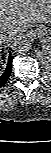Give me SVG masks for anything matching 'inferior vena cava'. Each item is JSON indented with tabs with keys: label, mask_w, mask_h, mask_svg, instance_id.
Instances as JSON below:
<instances>
[{
	"label": "inferior vena cava",
	"mask_w": 51,
	"mask_h": 153,
	"mask_svg": "<svg viewBox=\"0 0 51 153\" xmlns=\"http://www.w3.org/2000/svg\"><path fill=\"white\" fill-rule=\"evenodd\" d=\"M7 39H8V36L6 33H0V44L1 45L6 44Z\"/></svg>",
	"instance_id": "1"
}]
</instances>
